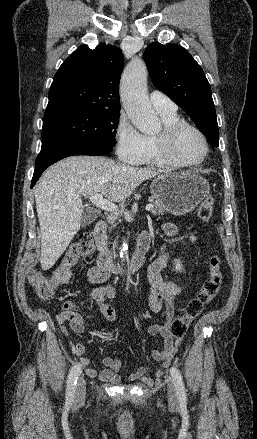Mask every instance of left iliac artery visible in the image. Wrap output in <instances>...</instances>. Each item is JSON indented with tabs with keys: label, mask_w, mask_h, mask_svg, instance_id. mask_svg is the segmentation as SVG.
<instances>
[{
	"label": "left iliac artery",
	"mask_w": 257,
	"mask_h": 439,
	"mask_svg": "<svg viewBox=\"0 0 257 439\" xmlns=\"http://www.w3.org/2000/svg\"><path fill=\"white\" fill-rule=\"evenodd\" d=\"M170 374H171L172 379L174 381V386L176 389L178 399L180 401H186L185 386H184V382H183L182 375H181L180 371L176 367H172L170 369Z\"/></svg>",
	"instance_id": "44dca946"
}]
</instances>
